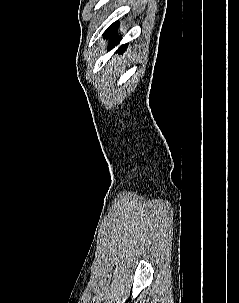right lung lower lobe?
<instances>
[{"mask_svg": "<svg viewBox=\"0 0 239 303\" xmlns=\"http://www.w3.org/2000/svg\"><path fill=\"white\" fill-rule=\"evenodd\" d=\"M118 26H119L118 22L113 23L103 34L104 38H112V36L116 33ZM117 44H118V38H114L110 41L109 48H112V47H114V45H117ZM126 46H127L126 44L122 45L119 48V52H123L126 49Z\"/></svg>", "mask_w": 239, "mask_h": 303, "instance_id": "obj_1", "label": "right lung lower lobe"}]
</instances>
